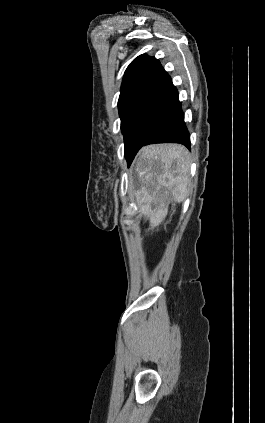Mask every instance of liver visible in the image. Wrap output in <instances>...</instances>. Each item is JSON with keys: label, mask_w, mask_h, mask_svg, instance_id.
Returning a JSON list of instances; mask_svg holds the SVG:
<instances>
[{"label": "liver", "mask_w": 265, "mask_h": 423, "mask_svg": "<svg viewBox=\"0 0 265 423\" xmlns=\"http://www.w3.org/2000/svg\"><path fill=\"white\" fill-rule=\"evenodd\" d=\"M135 167L143 175L146 184L156 186L154 190L143 186L135 193L139 211L149 220L150 228L153 229L161 224L168 212L169 196L176 202L184 200L190 155L179 144L146 146L140 150ZM162 188L165 191L161 193Z\"/></svg>", "instance_id": "6515ba94"}]
</instances>
